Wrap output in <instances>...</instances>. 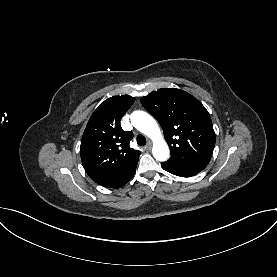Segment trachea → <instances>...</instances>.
I'll return each instance as SVG.
<instances>
[{
    "label": "trachea",
    "mask_w": 277,
    "mask_h": 277,
    "mask_svg": "<svg viewBox=\"0 0 277 277\" xmlns=\"http://www.w3.org/2000/svg\"><path fill=\"white\" fill-rule=\"evenodd\" d=\"M136 141L139 146H144L146 144V138L143 135H138Z\"/></svg>",
    "instance_id": "trachea-1"
}]
</instances>
